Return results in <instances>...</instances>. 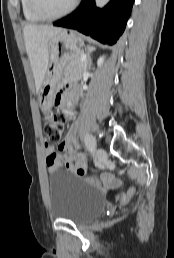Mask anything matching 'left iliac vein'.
Instances as JSON below:
<instances>
[{
    "instance_id": "4c4485c4",
    "label": "left iliac vein",
    "mask_w": 174,
    "mask_h": 258,
    "mask_svg": "<svg viewBox=\"0 0 174 258\" xmlns=\"http://www.w3.org/2000/svg\"><path fill=\"white\" fill-rule=\"evenodd\" d=\"M96 157L99 161H104L107 158V153L103 148H98L96 150Z\"/></svg>"
}]
</instances>
